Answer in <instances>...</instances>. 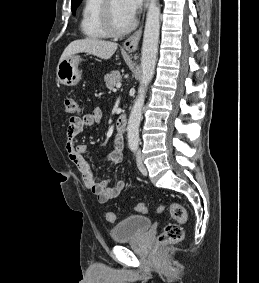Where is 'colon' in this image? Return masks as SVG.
Here are the masks:
<instances>
[{
  "instance_id": "1",
  "label": "colon",
  "mask_w": 259,
  "mask_h": 283,
  "mask_svg": "<svg viewBox=\"0 0 259 283\" xmlns=\"http://www.w3.org/2000/svg\"><path fill=\"white\" fill-rule=\"evenodd\" d=\"M65 108L66 112L70 115H77L80 112V106L73 98H66ZM135 210L139 213H147L149 206L144 203H139L135 206ZM157 210L158 212L168 210L173 218V222L166 225L164 231L158 236V245L164 246L180 242L184 237L183 225L188 218L186 209L177 202H169L158 206ZM105 217L109 223H114L116 220L115 214L111 211L106 212Z\"/></svg>"
}]
</instances>
